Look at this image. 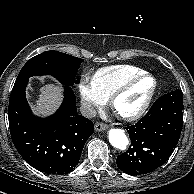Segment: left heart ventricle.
I'll return each instance as SVG.
<instances>
[{"instance_id": "1", "label": "left heart ventricle", "mask_w": 194, "mask_h": 194, "mask_svg": "<svg viewBox=\"0 0 194 194\" xmlns=\"http://www.w3.org/2000/svg\"><path fill=\"white\" fill-rule=\"evenodd\" d=\"M152 87L153 80L151 78L142 79L117 99L115 103L116 111L124 115L136 112L145 101Z\"/></svg>"}]
</instances>
